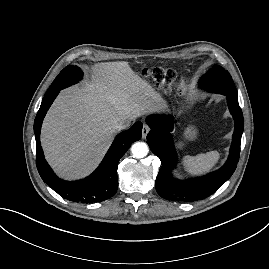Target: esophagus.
Here are the masks:
<instances>
[{
	"mask_svg": "<svg viewBox=\"0 0 269 269\" xmlns=\"http://www.w3.org/2000/svg\"><path fill=\"white\" fill-rule=\"evenodd\" d=\"M149 132H150V127L144 124L143 129H142V138L145 139Z\"/></svg>",
	"mask_w": 269,
	"mask_h": 269,
	"instance_id": "34e87169",
	"label": "esophagus"
}]
</instances>
